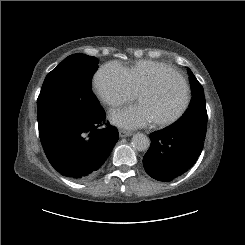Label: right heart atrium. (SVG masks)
Instances as JSON below:
<instances>
[{
  "label": "right heart atrium",
  "instance_id": "d8ad5b80",
  "mask_svg": "<svg viewBox=\"0 0 245 245\" xmlns=\"http://www.w3.org/2000/svg\"><path fill=\"white\" fill-rule=\"evenodd\" d=\"M92 85L98 98L110 108L132 101L137 95L126 68L116 62L101 66L93 77Z\"/></svg>",
  "mask_w": 245,
  "mask_h": 245
}]
</instances>
